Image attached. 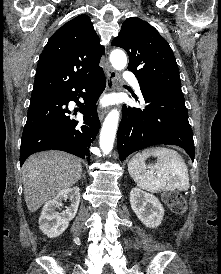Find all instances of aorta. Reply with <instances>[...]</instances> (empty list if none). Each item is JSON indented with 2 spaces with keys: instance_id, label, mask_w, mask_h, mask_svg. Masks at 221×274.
<instances>
[{
  "instance_id": "aorta-1",
  "label": "aorta",
  "mask_w": 221,
  "mask_h": 274,
  "mask_svg": "<svg viewBox=\"0 0 221 274\" xmlns=\"http://www.w3.org/2000/svg\"><path fill=\"white\" fill-rule=\"evenodd\" d=\"M110 62L116 70L121 71L127 65L126 54L120 49H115L110 54ZM119 115V111L113 109L108 113L103 122L100 132V148L105 154H109L113 149Z\"/></svg>"
}]
</instances>
